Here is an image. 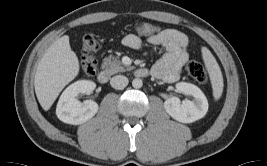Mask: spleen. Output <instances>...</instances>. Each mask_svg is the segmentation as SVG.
Returning <instances> with one entry per match:
<instances>
[{"instance_id":"spleen-1","label":"spleen","mask_w":267,"mask_h":166,"mask_svg":"<svg viewBox=\"0 0 267 166\" xmlns=\"http://www.w3.org/2000/svg\"><path fill=\"white\" fill-rule=\"evenodd\" d=\"M203 57L206 68L210 75V80L213 88V96L215 100H218L223 92V77L218 63L213 55L207 50H203Z\"/></svg>"}]
</instances>
